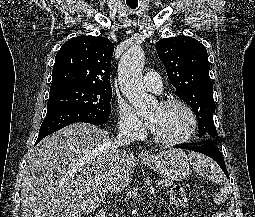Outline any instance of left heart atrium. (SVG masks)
<instances>
[{"instance_id": "left-heart-atrium-1", "label": "left heart atrium", "mask_w": 255, "mask_h": 217, "mask_svg": "<svg viewBox=\"0 0 255 217\" xmlns=\"http://www.w3.org/2000/svg\"><path fill=\"white\" fill-rule=\"evenodd\" d=\"M149 127H150V128H151V130H152L153 125H152V123H151V122H149Z\"/></svg>"}]
</instances>
